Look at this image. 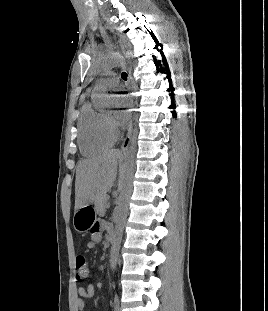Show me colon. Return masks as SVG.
<instances>
[{
	"mask_svg": "<svg viewBox=\"0 0 268 311\" xmlns=\"http://www.w3.org/2000/svg\"><path fill=\"white\" fill-rule=\"evenodd\" d=\"M76 269L78 278H85L89 275V268L84 255H78L76 257Z\"/></svg>",
	"mask_w": 268,
	"mask_h": 311,
	"instance_id": "obj_1",
	"label": "colon"
}]
</instances>
